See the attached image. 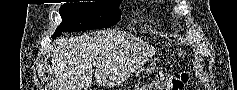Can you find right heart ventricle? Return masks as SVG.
<instances>
[{
    "label": "right heart ventricle",
    "mask_w": 237,
    "mask_h": 90,
    "mask_svg": "<svg viewBox=\"0 0 237 90\" xmlns=\"http://www.w3.org/2000/svg\"><path fill=\"white\" fill-rule=\"evenodd\" d=\"M152 10V7H147V11ZM138 16H144L145 12H137Z\"/></svg>",
    "instance_id": "obj_1"
}]
</instances>
